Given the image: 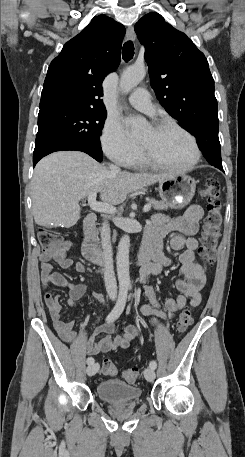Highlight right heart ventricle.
I'll return each mask as SVG.
<instances>
[{
    "mask_svg": "<svg viewBox=\"0 0 245 457\" xmlns=\"http://www.w3.org/2000/svg\"><path fill=\"white\" fill-rule=\"evenodd\" d=\"M143 164L139 156L135 155L128 163L129 166H141Z\"/></svg>",
    "mask_w": 245,
    "mask_h": 457,
    "instance_id": "obj_1",
    "label": "right heart ventricle"
}]
</instances>
